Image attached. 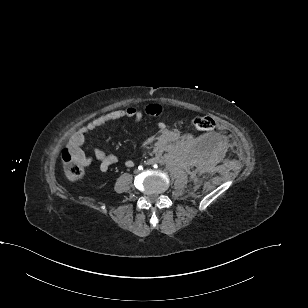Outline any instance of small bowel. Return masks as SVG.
Masks as SVG:
<instances>
[{"mask_svg":"<svg viewBox=\"0 0 308 308\" xmlns=\"http://www.w3.org/2000/svg\"><path fill=\"white\" fill-rule=\"evenodd\" d=\"M162 111V107L159 104L154 103L147 105L143 111L134 107H126L124 109L110 111L92 119L86 125L77 130L70 137L67 144V149L71 152L75 159L81 161L86 166L90 165L92 158L87 156L82 149L86 135L89 132L98 129L99 127L109 122L124 118L133 119L136 122H141L144 116L156 117L161 115ZM157 126L159 129V136L155 140L152 137H147L143 142L145 146L155 142L156 147L160 150H163L168 144L179 140L180 133L178 131L168 129L164 122H159ZM94 157L99 161V169L102 172L107 171L109 167L115 164L118 160L114 154L106 153L100 149L95 150ZM126 166L132 167L134 166V162L132 160H128L126 161Z\"/></svg>","mask_w":308,"mask_h":308,"instance_id":"obj_1","label":"small bowel"}]
</instances>
